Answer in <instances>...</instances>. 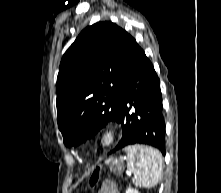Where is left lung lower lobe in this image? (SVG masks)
<instances>
[{
	"instance_id": "0a47b994",
	"label": "left lung lower lobe",
	"mask_w": 221,
	"mask_h": 193,
	"mask_svg": "<svg viewBox=\"0 0 221 193\" xmlns=\"http://www.w3.org/2000/svg\"><path fill=\"white\" fill-rule=\"evenodd\" d=\"M119 105L118 122L122 125L123 137L113 151L129 145L145 144L158 148L165 155V122L160 80L140 47L123 78ZM132 106L134 112H130ZM150 107L156 112L157 124L148 127L142 124V120Z\"/></svg>"
}]
</instances>
